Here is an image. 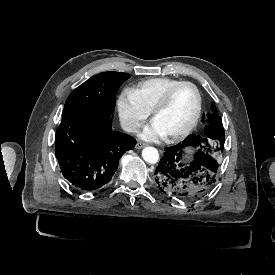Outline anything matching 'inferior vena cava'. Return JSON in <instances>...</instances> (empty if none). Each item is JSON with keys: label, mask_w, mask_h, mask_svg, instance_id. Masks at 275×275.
I'll list each match as a JSON object with an SVG mask.
<instances>
[{"label": "inferior vena cava", "mask_w": 275, "mask_h": 275, "mask_svg": "<svg viewBox=\"0 0 275 275\" xmlns=\"http://www.w3.org/2000/svg\"><path fill=\"white\" fill-rule=\"evenodd\" d=\"M122 127L126 132H134L136 130L135 124H125V125H122Z\"/></svg>", "instance_id": "obj_1"}]
</instances>
